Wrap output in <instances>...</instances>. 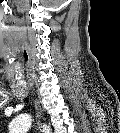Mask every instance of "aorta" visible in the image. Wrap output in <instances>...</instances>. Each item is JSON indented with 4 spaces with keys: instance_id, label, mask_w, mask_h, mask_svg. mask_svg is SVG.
Listing matches in <instances>:
<instances>
[{
    "instance_id": "1",
    "label": "aorta",
    "mask_w": 120,
    "mask_h": 133,
    "mask_svg": "<svg viewBox=\"0 0 120 133\" xmlns=\"http://www.w3.org/2000/svg\"><path fill=\"white\" fill-rule=\"evenodd\" d=\"M31 121V118L28 116H20L13 120L10 125V130L15 131V133L27 131L31 125Z\"/></svg>"
}]
</instances>
